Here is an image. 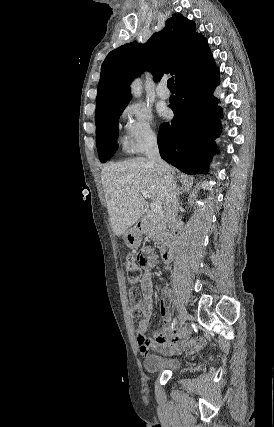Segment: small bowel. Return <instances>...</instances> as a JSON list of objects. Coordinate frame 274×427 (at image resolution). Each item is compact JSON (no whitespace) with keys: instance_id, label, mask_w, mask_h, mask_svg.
Masks as SVG:
<instances>
[{"instance_id":"small-bowel-1","label":"small bowel","mask_w":274,"mask_h":427,"mask_svg":"<svg viewBox=\"0 0 274 427\" xmlns=\"http://www.w3.org/2000/svg\"><path fill=\"white\" fill-rule=\"evenodd\" d=\"M144 254L147 257L144 271L140 279L137 281L140 285L142 301V319L135 324L137 341L140 346V351L143 356H148L151 353L161 354H176L179 353L184 346L185 342L188 341L189 332L187 330H179L169 334H164L171 321V313L169 309V294L167 291H163L159 297V313L162 318L160 327L155 332L152 338H146L145 332L148 330L150 325V319L153 312V283L150 274V268L154 266L157 261V256L153 249L146 248ZM164 263L168 264L169 261L163 259Z\"/></svg>"}]
</instances>
